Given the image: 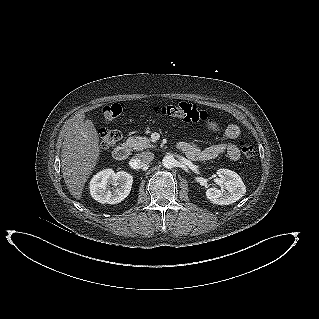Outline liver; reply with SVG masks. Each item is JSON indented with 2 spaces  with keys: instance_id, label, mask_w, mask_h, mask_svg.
<instances>
[{
  "instance_id": "obj_1",
  "label": "liver",
  "mask_w": 319,
  "mask_h": 319,
  "mask_svg": "<svg viewBox=\"0 0 319 319\" xmlns=\"http://www.w3.org/2000/svg\"><path fill=\"white\" fill-rule=\"evenodd\" d=\"M100 154L99 137L91 120L80 115L68 127L61 151V166L66 186L80 199L85 182Z\"/></svg>"
}]
</instances>
